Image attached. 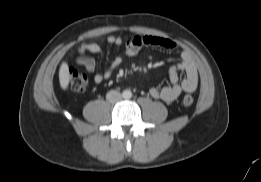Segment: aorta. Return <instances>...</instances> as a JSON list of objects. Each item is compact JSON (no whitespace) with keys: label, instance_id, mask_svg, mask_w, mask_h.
Masks as SVG:
<instances>
[{"label":"aorta","instance_id":"762f6f07","mask_svg":"<svg viewBox=\"0 0 261 182\" xmlns=\"http://www.w3.org/2000/svg\"><path fill=\"white\" fill-rule=\"evenodd\" d=\"M122 95H123V98L130 99L132 97V92L129 90H125Z\"/></svg>","mask_w":261,"mask_h":182}]
</instances>
